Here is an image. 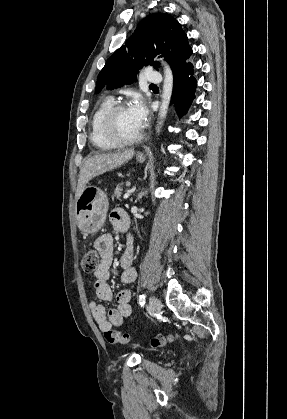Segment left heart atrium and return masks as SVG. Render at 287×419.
Listing matches in <instances>:
<instances>
[{
    "mask_svg": "<svg viewBox=\"0 0 287 419\" xmlns=\"http://www.w3.org/2000/svg\"><path fill=\"white\" fill-rule=\"evenodd\" d=\"M128 110L138 126L142 128L148 116V110L144 100L139 96L135 97Z\"/></svg>",
    "mask_w": 287,
    "mask_h": 419,
    "instance_id": "obj_1",
    "label": "left heart atrium"
}]
</instances>
